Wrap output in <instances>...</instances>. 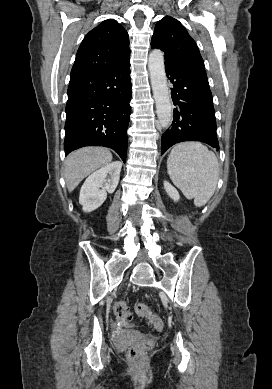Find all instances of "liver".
I'll list each match as a JSON object with an SVG mask.
<instances>
[{
    "label": "liver",
    "instance_id": "1",
    "mask_svg": "<svg viewBox=\"0 0 272 389\" xmlns=\"http://www.w3.org/2000/svg\"><path fill=\"white\" fill-rule=\"evenodd\" d=\"M111 161V152L102 147H84L72 152L64 163V178L69 192L85 177Z\"/></svg>",
    "mask_w": 272,
    "mask_h": 389
}]
</instances>
